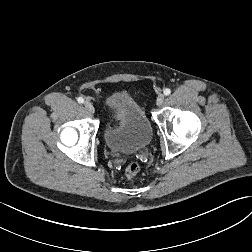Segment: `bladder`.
Instances as JSON below:
<instances>
[{"label":"bladder","mask_w":252,"mask_h":252,"mask_svg":"<svg viewBox=\"0 0 252 252\" xmlns=\"http://www.w3.org/2000/svg\"><path fill=\"white\" fill-rule=\"evenodd\" d=\"M151 139V123L139 104L130 97L114 96L108 104L104 128L107 148L118 153H134L144 149Z\"/></svg>","instance_id":"31cf9c89"}]
</instances>
